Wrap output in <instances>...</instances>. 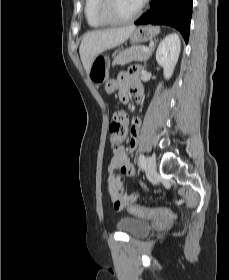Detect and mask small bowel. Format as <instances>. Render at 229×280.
Returning <instances> with one entry per match:
<instances>
[{
	"instance_id": "1",
	"label": "small bowel",
	"mask_w": 229,
	"mask_h": 280,
	"mask_svg": "<svg viewBox=\"0 0 229 280\" xmlns=\"http://www.w3.org/2000/svg\"><path fill=\"white\" fill-rule=\"evenodd\" d=\"M105 90L108 94H118L119 99L126 102L130 93H133L137 102L142 100V88L139 79L138 68L133 66L127 72L117 74L105 85ZM141 121L136 118L131 126V139L129 143V150L133 152L137 146L140 137ZM120 170L121 174H116L115 171ZM136 174L135 168L129 163L127 157V150L123 145H118L113 149L111 161L108 165L107 188L110 198L115 201L117 199L127 198L124 187V176H134ZM117 211H123L122 208H117Z\"/></svg>"
}]
</instances>
